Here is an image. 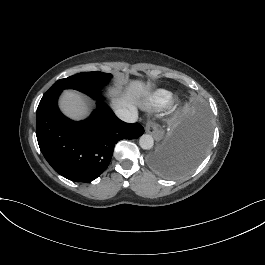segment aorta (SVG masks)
I'll return each mask as SVG.
<instances>
[{
	"mask_svg": "<svg viewBox=\"0 0 265 265\" xmlns=\"http://www.w3.org/2000/svg\"><path fill=\"white\" fill-rule=\"evenodd\" d=\"M139 145L142 149L149 150L154 145L153 137L149 134H144L139 139Z\"/></svg>",
	"mask_w": 265,
	"mask_h": 265,
	"instance_id": "obj_1",
	"label": "aorta"
}]
</instances>
